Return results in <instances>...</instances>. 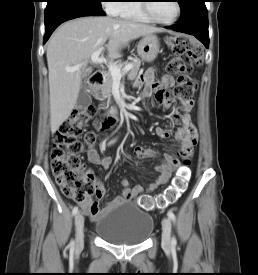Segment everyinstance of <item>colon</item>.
I'll return each mask as SVG.
<instances>
[{
    "mask_svg": "<svg viewBox=\"0 0 258 275\" xmlns=\"http://www.w3.org/2000/svg\"><path fill=\"white\" fill-rule=\"evenodd\" d=\"M169 49L176 55L167 64V71L177 76V84L170 95V99L186 102L192 99L197 90V82L191 77L194 67L201 64L203 53L201 48L188 36H170L167 38ZM92 106L75 111L56 132L51 150V165L56 181L63 194L77 202L90 199L95 194V175L85 170L80 159V153L85 146L80 137L90 119L95 114ZM115 124L111 117H102L95 123V129L106 130ZM96 134L88 131L85 134L86 148L95 142ZM191 176L189 157L177 170L170 185L164 192L155 197L142 195L137 204L144 210H163L175 203L186 190Z\"/></svg>",
    "mask_w": 258,
    "mask_h": 275,
    "instance_id": "5ec220e1",
    "label": "colon"
}]
</instances>
